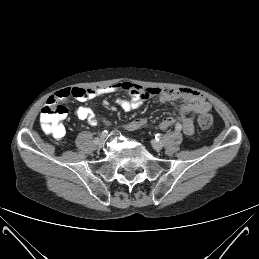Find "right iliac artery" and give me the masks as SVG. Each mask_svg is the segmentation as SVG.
<instances>
[{"mask_svg":"<svg viewBox=\"0 0 259 259\" xmlns=\"http://www.w3.org/2000/svg\"><path fill=\"white\" fill-rule=\"evenodd\" d=\"M92 140H93V142H95V143H96V142H98V140H99V139H98V137H96V136H95V137H93V139H92Z\"/></svg>","mask_w":259,"mask_h":259,"instance_id":"obj_1","label":"right iliac artery"}]
</instances>
